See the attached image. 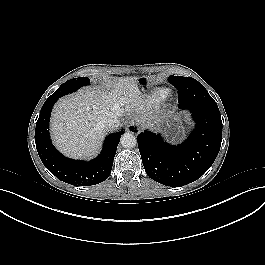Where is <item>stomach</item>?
<instances>
[{"label":"stomach","instance_id":"1","mask_svg":"<svg viewBox=\"0 0 265 265\" xmlns=\"http://www.w3.org/2000/svg\"><path fill=\"white\" fill-rule=\"evenodd\" d=\"M154 82V79L151 76H146V77H141L138 79V86L144 90L145 87H149L151 83ZM174 137L173 138H179L181 131L179 129H175L174 132Z\"/></svg>","mask_w":265,"mask_h":265}]
</instances>
